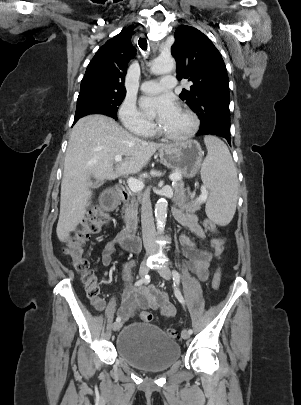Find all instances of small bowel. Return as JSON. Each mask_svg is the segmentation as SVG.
I'll use <instances>...</instances> for the list:
<instances>
[{"instance_id":"small-bowel-1","label":"small bowel","mask_w":301,"mask_h":405,"mask_svg":"<svg viewBox=\"0 0 301 405\" xmlns=\"http://www.w3.org/2000/svg\"><path fill=\"white\" fill-rule=\"evenodd\" d=\"M174 216L179 224L190 230L197 238L206 239V232L198 223L197 215L182 206L174 208ZM180 241L183 245L182 259L187 269L192 272L200 281L209 278L210 266L214 258L219 257L224 250V239L215 237L210 240V249H200L195 241L185 234H181ZM125 248L122 244V232L106 242L101 252V263L109 266L114 255ZM126 250V249H125ZM132 263L124 265L123 278L127 283L120 301L118 316L124 321L131 319L139 308L158 311L164 317H172L176 310L169 300L168 295L154 285L131 289L129 286ZM101 301L98 308H103Z\"/></svg>"}]
</instances>
